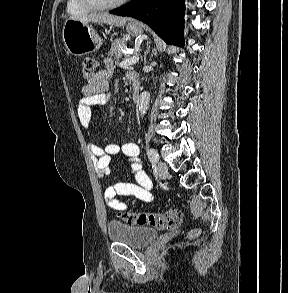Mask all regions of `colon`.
Returning <instances> with one entry per match:
<instances>
[{
	"label": "colon",
	"mask_w": 288,
	"mask_h": 293,
	"mask_svg": "<svg viewBox=\"0 0 288 293\" xmlns=\"http://www.w3.org/2000/svg\"><path fill=\"white\" fill-rule=\"evenodd\" d=\"M98 62L92 57H87L83 61V75L86 79L93 78L98 73ZM121 217L129 224L151 225L158 229H171L178 226L182 220V214L178 209H171L164 213H122ZM197 230L190 233V237H196Z\"/></svg>",
	"instance_id": "obj_1"
}]
</instances>
